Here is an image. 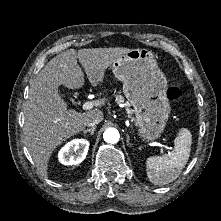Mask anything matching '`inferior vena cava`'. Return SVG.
I'll list each match as a JSON object with an SVG mask.
<instances>
[{
    "mask_svg": "<svg viewBox=\"0 0 221 221\" xmlns=\"http://www.w3.org/2000/svg\"><path fill=\"white\" fill-rule=\"evenodd\" d=\"M102 121L101 116H97L93 119H91L88 123L87 126L88 127H95V125L99 124Z\"/></svg>",
    "mask_w": 221,
    "mask_h": 221,
    "instance_id": "1",
    "label": "inferior vena cava"
}]
</instances>
